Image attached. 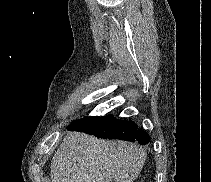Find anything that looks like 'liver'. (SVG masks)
Masks as SVG:
<instances>
[{
  "label": "liver",
  "mask_w": 211,
  "mask_h": 182,
  "mask_svg": "<svg viewBox=\"0 0 211 182\" xmlns=\"http://www.w3.org/2000/svg\"><path fill=\"white\" fill-rule=\"evenodd\" d=\"M146 159L134 143L68 133L51 161L52 182H133Z\"/></svg>",
  "instance_id": "liver-1"
}]
</instances>
